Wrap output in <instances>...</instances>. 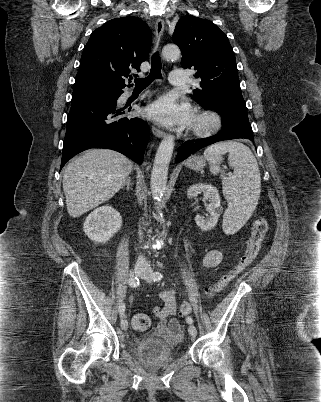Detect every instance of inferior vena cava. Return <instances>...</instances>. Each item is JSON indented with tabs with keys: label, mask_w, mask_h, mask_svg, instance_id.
I'll return each mask as SVG.
<instances>
[{
	"label": "inferior vena cava",
	"mask_w": 321,
	"mask_h": 402,
	"mask_svg": "<svg viewBox=\"0 0 321 402\" xmlns=\"http://www.w3.org/2000/svg\"><path fill=\"white\" fill-rule=\"evenodd\" d=\"M136 266L137 267H142V268H145V267L148 266V263H147V261H146L144 256H142V255L139 256V258L137 259V262H136Z\"/></svg>",
	"instance_id": "inferior-vena-cava-1"
}]
</instances>
